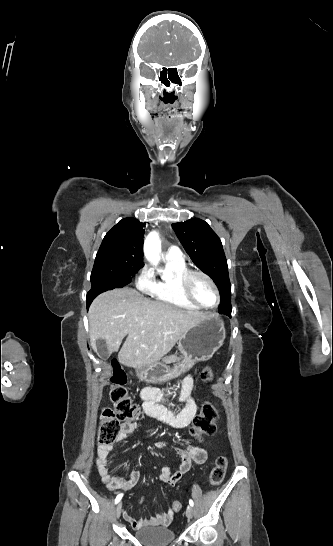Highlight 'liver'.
<instances>
[{
	"mask_svg": "<svg viewBox=\"0 0 333 546\" xmlns=\"http://www.w3.org/2000/svg\"><path fill=\"white\" fill-rule=\"evenodd\" d=\"M90 343L106 342L109 353L117 351L120 364L141 368L158 362L188 329L206 317L151 301L132 288L113 289L97 296L89 309Z\"/></svg>",
	"mask_w": 333,
	"mask_h": 546,
	"instance_id": "liver-1",
	"label": "liver"
}]
</instances>
